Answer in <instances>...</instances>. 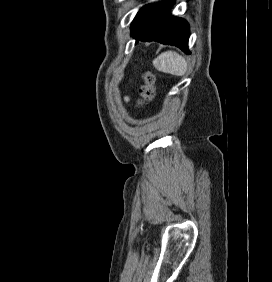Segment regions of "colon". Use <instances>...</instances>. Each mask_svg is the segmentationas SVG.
<instances>
[{
  "instance_id": "5ec220e1",
  "label": "colon",
  "mask_w": 272,
  "mask_h": 282,
  "mask_svg": "<svg viewBox=\"0 0 272 282\" xmlns=\"http://www.w3.org/2000/svg\"><path fill=\"white\" fill-rule=\"evenodd\" d=\"M153 83H154L153 75L147 73L144 77V84L139 89L140 98L137 102L138 107H144L153 98L154 95Z\"/></svg>"
}]
</instances>
